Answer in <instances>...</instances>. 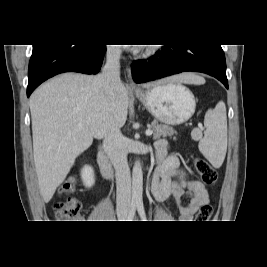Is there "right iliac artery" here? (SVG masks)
Instances as JSON below:
<instances>
[{"label": "right iliac artery", "instance_id": "82829eb1", "mask_svg": "<svg viewBox=\"0 0 267 267\" xmlns=\"http://www.w3.org/2000/svg\"><path fill=\"white\" fill-rule=\"evenodd\" d=\"M135 211H136V204L132 203L130 206V210H129V214L127 217V221H132L134 215H135Z\"/></svg>", "mask_w": 267, "mask_h": 267}]
</instances>
